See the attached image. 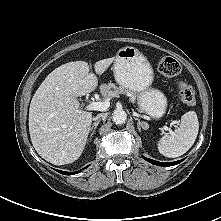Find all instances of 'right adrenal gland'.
Returning a JSON list of instances; mask_svg holds the SVG:
<instances>
[{
  "label": "right adrenal gland",
  "instance_id": "right-adrenal-gland-1",
  "mask_svg": "<svg viewBox=\"0 0 221 221\" xmlns=\"http://www.w3.org/2000/svg\"><path fill=\"white\" fill-rule=\"evenodd\" d=\"M98 124H99V121L94 122L93 125H92V127L90 128V131H91V134H90V140H91L92 136L94 135L95 130H96Z\"/></svg>",
  "mask_w": 221,
  "mask_h": 221
}]
</instances>
